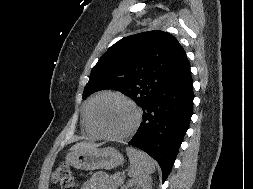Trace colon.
<instances>
[{"label": "colon", "mask_w": 253, "mask_h": 189, "mask_svg": "<svg viewBox=\"0 0 253 189\" xmlns=\"http://www.w3.org/2000/svg\"><path fill=\"white\" fill-rule=\"evenodd\" d=\"M52 181L61 189H75L74 177L71 169L66 164H58L53 173Z\"/></svg>", "instance_id": "obj_1"}]
</instances>
